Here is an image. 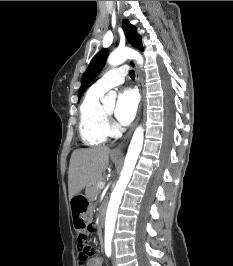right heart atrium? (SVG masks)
<instances>
[{
	"label": "right heart atrium",
	"mask_w": 233,
	"mask_h": 266,
	"mask_svg": "<svg viewBox=\"0 0 233 266\" xmlns=\"http://www.w3.org/2000/svg\"><path fill=\"white\" fill-rule=\"evenodd\" d=\"M107 130L110 132V133H113L115 131V126L112 124L111 121H108L107 122Z\"/></svg>",
	"instance_id": "d8ad5b80"
}]
</instances>
